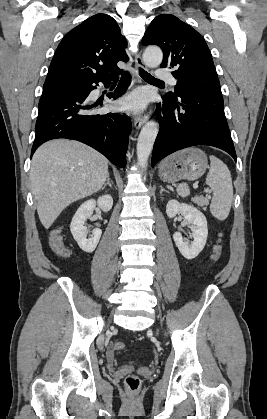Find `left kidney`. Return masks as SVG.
<instances>
[{
    "label": "left kidney",
    "mask_w": 267,
    "mask_h": 419,
    "mask_svg": "<svg viewBox=\"0 0 267 419\" xmlns=\"http://www.w3.org/2000/svg\"><path fill=\"white\" fill-rule=\"evenodd\" d=\"M166 213L169 218H173L180 213L188 224H190L192 237L194 239L191 245H188L183 241L180 232H175L173 234V239L180 253L186 259H194L203 250L206 244L208 236L206 217L193 205L179 203L177 200H169L166 206Z\"/></svg>",
    "instance_id": "5707ae66"
}]
</instances>
